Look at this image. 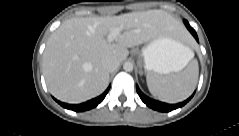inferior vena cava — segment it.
Listing matches in <instances>:
<instances>
[{
	"instance_id": "1",
	"label": "inferior vena cava",
	"mask_w": 239,
	"mask_h": 136,
	"mask_svg": "<svg viewBox=\"0 0 239 136\" xmlns=\"http://www.w3.org/2000/svg\"><path fill=\"white\" fill-rule=\"evenodd\" d=\"M120 62L114 58H108L103 60L102 66L109 72L115 71L119 67Z\"/></svg>"
}]
</instances>
